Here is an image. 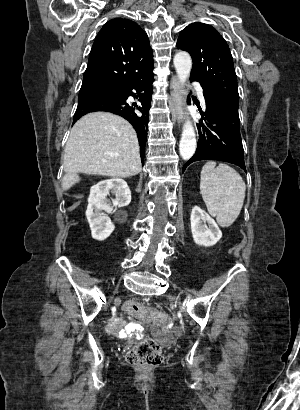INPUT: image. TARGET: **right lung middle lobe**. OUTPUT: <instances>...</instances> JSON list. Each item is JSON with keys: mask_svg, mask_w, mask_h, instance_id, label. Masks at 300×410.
Here are the masks:
<instances>
[{"mask_svg": "<svg viewBox=\"0 0 300 410\" xmlns=\"http://www.w3.org/2000/svg\"><path fill=\"white\" fill-rule=\"evenodd\" d=\"M116 91V87L102 82H83L78 100L103 93H114Z\"/></svg>", "mask_w": 300, "mask_h": 410, "instance_id": "right-lung-middle-lobe-1", "label": "right lung middle lobe"}]
</instances>
